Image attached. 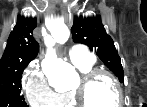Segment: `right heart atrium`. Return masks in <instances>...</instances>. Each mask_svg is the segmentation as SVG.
Returning a JSON list of instances; mask_svg holds the SVG:
<instances>
[{
    "instance_id": "right-heart-atrium-1",
    "label": "right heart atrium",
    "mask_w": 147,
    "mask_h": 107,
    "mask_svg": "<svg viewBox=\"0 0 147 107\" xmlns=\"http://www.w3.org/2000/svg\"><path fill=\"white\" fill-rule=\"evenodd\" d=\"M22 87L31 106L51 107L59 103V94L51 89L38 63L33 64L24 75Z\"/></svg>"
}]
</instances>
